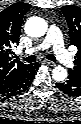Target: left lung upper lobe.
Wrapping results in <instances>:
<instances>
[{"label": "left lung upper lobe", "instance_id": "left-lung-upper-lobe-1", "mask_svg": "<svg viewBox=\"0 0 81 124\" xmlns=\"http://www.w3.org/2000/svg\"><path fill=\"white\" fill-rule=\"evenodd\" d=\"M62 13L66 17L69 26L70 44L78 49L75 56V66L68 72L76 75L81 79V8L74 5L63 6Z\"/></svg>", "mask_w": 81, "mask_h": 124}]
</instances>
